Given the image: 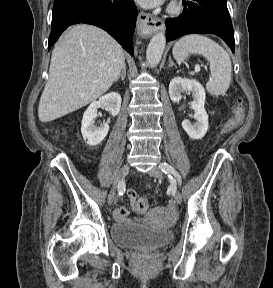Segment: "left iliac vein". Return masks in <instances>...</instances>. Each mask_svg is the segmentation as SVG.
Returning <instances> with one entry per match:
<instances>
[{
	"instance_id": "4c4485c4",
	"label": "left iliac vein",
	"mask_w": 273,
	"mask_h": 288,
	"mask_svg": "<svg viewBox=\"0 0 273 288\" xmlns=\"http://www.w3.org/2000/svg\"><path fill=\"white\" fill-rule=\"evenodd\" d=\"M149 175H151L152 177L158 178V179L163 178V172L159 167H153L149 171ZM173 198L177 204H180L182 202V195L177 189H174V191H173Z\"/></svg>"
}]
</instances>
